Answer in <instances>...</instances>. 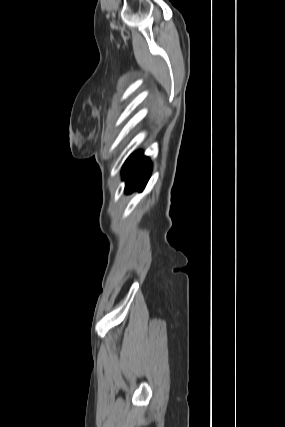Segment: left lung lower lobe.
<instances>
[{
	"instance_id": "obj_1",
	"label": "left lung lower lobe",
	"mask_w": 285,
	"mask_h": 427,
	"mask_svg": "<svg viewBox=\"0 0 285 427\" xmlns=\"http://www.w3.org/2000/svg\"><path fill=\"white\" fill-rule=\"evenodd\" d=\"M151 169L152 164L141 151L132 154L122 168L125 191L129 193L135 189L142 190L149 180Z\"/></svg>"
}]
</instances>
